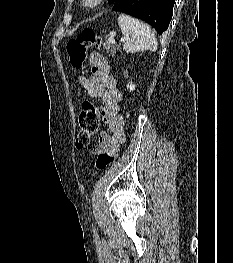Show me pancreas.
<instances>
[{"label": "pancreas", "mask_w": 233, "mask_h": 263, "mask_svg": "<svg viewBox=\"0 0 233 263\" xmlns=\"http://www.w3.org/2000/svg\"><path fill=\"white\" fill-rule=\"evenodd\" d=\"M103 48L107 51V53H110L112 56L116 54V48L117 46L111 45L108 42H105L103 44Z\"/></svg>", "instance_id": "1"}]
</instances>
